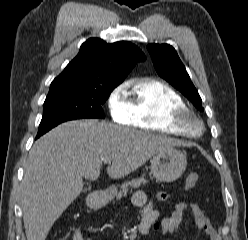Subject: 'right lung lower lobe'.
<instances>
[{
  "mask_svg": "<svg viewBox=\"0 0 248 240\" xmlns=\"http://www.w3.org/2000/svg\"><path fill=\"white\" fill-rule=\"evenodd\" d=\"M53 127H46V128H39L38 134L36 136V139L39 138L41 135L45 134L49 130H51Z\"/></svg>",
  "mask_w": 248,
  "mask_h": 240,
  "instance_id": "98d812e1",
  "label": "right lung lower lobe"
}]
</instances>
